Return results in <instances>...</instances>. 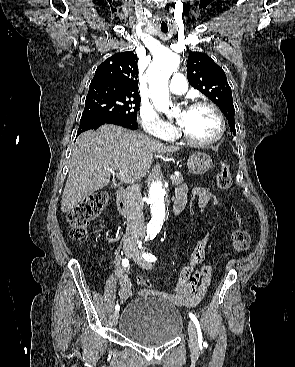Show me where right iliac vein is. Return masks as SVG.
I'll return each mask as SVG.
<instances>
[{"label":"right iliac vein","instance_id":"right-iliac-vein-1","mask_svg":"<svg viewBox=\"0 0 295 367\" xmlns=\"http://www.w3.org/2000/svg\"><path fill=\"white\" fill-rule=\"evenodd\" d=\"M126 257H131L133 255V250L131 248H125L124 250ZM119 318V311H114L112 314V322L114 325H117Z\"/></svg>","mask_w":295,"mask_h":367}]
</instances>
